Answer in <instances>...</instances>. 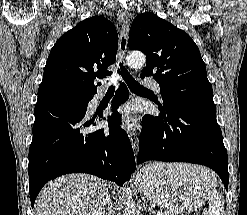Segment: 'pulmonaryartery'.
<instances>
[{
	"label": "pulmonary artery",
	"mask_w": 247,
	"mask_h": 215,
	"mask_svg": "<svg viewBox=\"0 0 247 215\" xmlns=\"http://www.w3.org/2000/svg\"><path fill=\"white\" fill-rule=\"evenodd\" d=\"M144 85L147 87V88H150L156 92H160V87H159V84L152 78H146L144 80Z\"/></svg>",
	"instance_id": "e3ab8cb5"
}]
</instances>
